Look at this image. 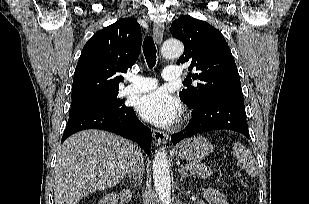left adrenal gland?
I'll return each mask as SVG.
<instances>
[{
    "label": "left adrenal gland",
    "mask_w": 309,
    "mask_h": 204,
    "mask_svg": "<svg viewBox=\"0 0 309 204\" xmlns=\"http://www.w3.org/2000/svg\"><path fill=\"white\" fill-rule=\"evenodd\" d=\"M179 173H180V175H181L180 181H183V179H184L185 177H188V176H189V175L185 172V170L183 169V167H181V168L179 169Z\"/></svg>",
    "instance_id": "a2214340"
}]
</instances>
